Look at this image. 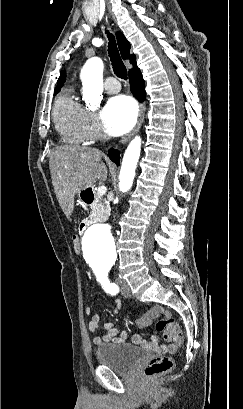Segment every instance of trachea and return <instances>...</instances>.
<instances>
[{
	"label": "trachea",
	"instance_id": "1",
	"mask_svg": "<svg viewBox=\"0 0 243 409\" xmlns=\"http://www.w3.org/2000/svg\"><path fill=\"white\" fill-rule=\"evenodd\" d=\"M109 43H108V53L110 60L112 62L114 73L121 79L127 80V69L120 57L115 37L106 31Z\"/></svg>",
	"mask_w": 243,
	"mask_h": 409
}]
</instances>
